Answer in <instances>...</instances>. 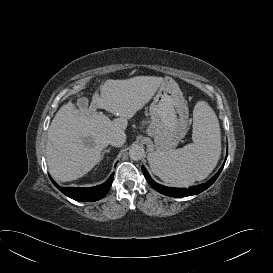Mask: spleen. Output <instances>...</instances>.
<instances>
[{
	"label": "spleen",
	"mask_w": 273,
	"mask_h": 273,
	"mask_svg": "<svg viewBox=\"0 0 273 273\" xmlns=\"http://www.w3.org/2000/svg\"><path fill=\"white\" fill-rule=\"evenodd\" d=\"M193 143L171 151L149 154L151 171L166 183L187 186L205 179L221 154L218 119L211 107L199 101L193 111Z\"/></svg>",
	"instance_id": "obj_1"
}]
</instances>
